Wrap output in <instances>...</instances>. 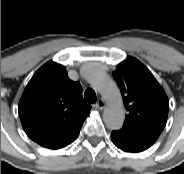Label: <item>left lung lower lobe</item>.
Here are the masks:
<instances>
[{
	"instance_id": "1",
	"label": "left lung lower lobe",
	"mask_w": 184,
	"mask_h": 174,
	"mask_svg": "<svg viewBox=\"0 0 184 174\" xmlns=\"http://www.w3.org/2000/svg\"><path fill=\"white\" fill-rule=\"evenodd\" d=\"M112 142L125 152H141L152 146L157 137L122 127L111 133Z\"/></svg>"
}]
</instances>
